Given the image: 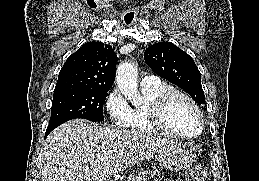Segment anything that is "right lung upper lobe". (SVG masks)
I'll return each mask as SVG.
<instances>
[{"label": "right lung upper lobe", "mask_w": 259, "mask_h": 181, "mask_svg": "<svg viewBox=\"0 0 259 181\" xmlns=\"http://www.w3.org/2000/svg\"><path fill=\"white\" fill-rule=\"evenodd\" d=\"M115 48L101 42H88L68 57L59 72L55 88L109 90L115 80Z\"/></svg>", "instance_id": "right-lung-upper-lobe-1"}]
</instances>
